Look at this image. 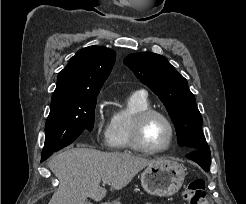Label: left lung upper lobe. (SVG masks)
<instances>
[{
    "label": "left lung upper lobe",
    "instance_id": "obj_1",
    "mask_svg": "<svg viewBox=\"0 0 246 204\" xmlns=\"http://www.w3.org/2000/svg\"><path fill=\"white\" fill-rule=\"evenodd\" d=\"M124 63L164 103L177 131L178 144L191 149L207 146L202 116L187 80L168 60L152 52L130 54Z\"/></svg>",
    "mask_w": 246,
    "mask_h": 204
}]
</instances>
